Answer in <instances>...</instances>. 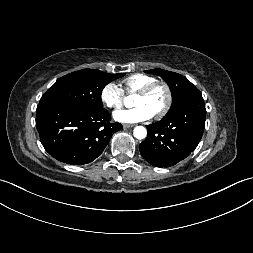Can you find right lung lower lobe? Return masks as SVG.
I'll return each instance as SVG.
<instances>
[{
	"label": "right lung lower lobe",
	"instance_id": "98d812e1",
	"mask_svg": "<svg viewBox=\"0 0 253 253\" xmlns=\"http://www.w3.org/2000/svg\"><path fill=\"white\" fill-rule=\"evenodd\" d=\"M106 109L39 103L36 127L45 150L56 160L82 165L92 162L105 149L120 123H110Z\"/></svg>",
	"mask_w": 253,
	"mask_h": 253
}]
</instances>
